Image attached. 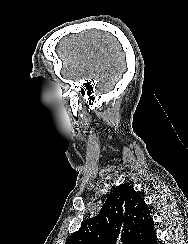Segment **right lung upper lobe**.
Here are the masks:
<instances>
[{
  "label": "right lung upper lobe",
  "mask_w": 188,
  "mask_h": 244,
  "mask_svg": "<svg viewBox=\"0 0 188 244\" xmlns=\"http://www.w3.org/2000/svg\"><path fill=\"white\" fill-rule=\"evenodd\" d=\"M154 226L147 204L129 185H120L96 217L82 223L65 244H141Z\"/></svg>",
  "instance_id": "1"
}]
</instances>
